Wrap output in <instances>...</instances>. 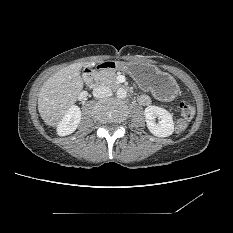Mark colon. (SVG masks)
Instances as JSON below:
<instances>
[{"label":"colon","mask_w":233,"mask_h":233,"mask_svg":"<svg viewBox=\"0 0 233 233\" xmlns=\"http://www.w3.org/2000/svg\"><path fill=\"white\" fill-rule=\"evenodd\" d=\"M178 108L180 115L176 119L175 130L177 133H182L187 128L189 121L193 118L195 108L192 104L187 102H180Z\"/></svg>","instance_id":"1"}]
</instances>
